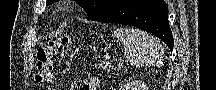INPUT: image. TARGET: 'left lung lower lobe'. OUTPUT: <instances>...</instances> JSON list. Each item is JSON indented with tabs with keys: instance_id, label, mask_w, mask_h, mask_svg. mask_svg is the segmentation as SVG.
<instances>
[{
	"instance_id": "left-lung-lower-lobe-1",
	"label": "left lung lower lobe",
	"mask_w": 216,
	"mask_h": 90,
	"mask_svg": "<svg viewBox=\"0 0 216 90\" xmlns=\"http://www.w3.org/2000/svg\"><path fill=\"white\" fill-rule=\"evenodd\" d=\"M93 21L132 25L150 32L173 50L174 42L167 16V4L163 0H125Z\"/></svg>"
}]
</instances>
